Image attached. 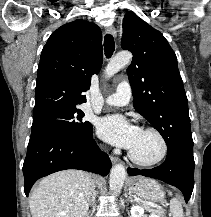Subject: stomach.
Segmentation results:
<instances>
[{
	"label": "stomach",
	"instance_id": "obj_1",
	"mask_svg": "<svg viewBox=\"0 0 211 217\" xmlns=\"http://www.w3.org/2000/svg\"><path fill=\"white\" fill-rule=\"evenodd\" d=\"M130 190L139 197L153 202H163L165 198L162 186L152 178L136 177L132 179Z\"/></svg>",
	"mask_w": 211,
	"mask_h": 217
}]
</instances>
